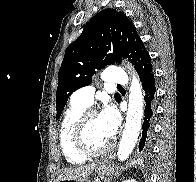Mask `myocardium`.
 <instances>
[{
  "instance_id": "obj_1",
  "label": "myocardium",
  "mask_w": 196,
  "mask_h": 182,
  "mask_svg": "<svg viewBox=\"0 0 196 182\" xmlns=\"http://www.w3.org/2000/svg\"><path fill=\"white\" fill-rule=\"evenodd\" d=\"M98 115V112L94 109H86L77 119L73 131H72V143L75 150L85 157H97L108 153L112 147L113 143L109 142L105 147L93 150L90 149L84 140V132L90 117Z\"/></svg>"
}]
</instances>
